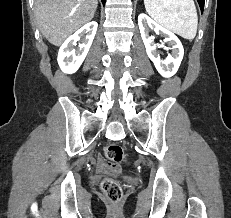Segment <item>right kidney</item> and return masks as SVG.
I'll list each match as a JSON object with an SVG mask.
<instances>
[{
	"label": "right kidney",
	"mask_w": 231,
	"mask_h": 218,
	"mask_svg": "<svg viewBox=\"0 0 231 218\" xmlns=\"http://www.w3.org/2000/svg\"><path fill=\"white\" fill-rule=\"evenodd\" d=\"M97 27L98 24L96 21L89 22L62 44L59 49L57 61L64 73L72 74L79 69L90 49ZM80 39H82V43L78 45V49L76 50L74 47Z\"/></svg>",
	"instance_id": "obj_1"
}]
</instances>
